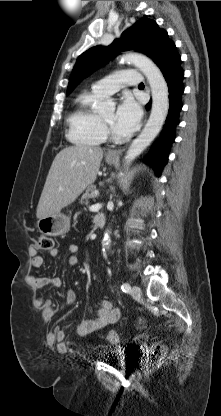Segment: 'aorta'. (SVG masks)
<instances>
[{
	"instance_id": "1",
	"label": "aorta",
	"mask_w": 221,
	"mask_h": 416,
	"mask_svg": "<svg viewBox=\"0 0 221 416\" xmlns=\"http://www.w3.org/2000/svg\"><path fill=\"white\" fill-rule=\"evenodd\" d=\"M123 61L133 64L147 78L152 94V109L150 117L140 133V135L132 142L125 155V166H129L131 162L139 156L154 138L160 132L169 110V92L165 78L160 69L147 56L139 53H127L122 57ZM111 105V101L107 100L98 106L100 112L104 111ZM103 243L106 248L110 247V238L105 233Z\"/></svg>"
}]
</instances>
